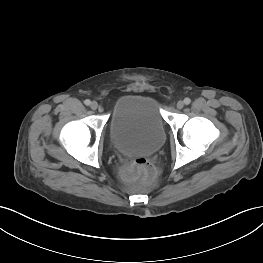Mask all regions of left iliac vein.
Listing matches in <instances>:
<instances>
[{
	"label": "left iliac vein",
	"instance_id": "4c4485c4",
	"mask_svg": "<svg viewBox=\"0 0 263 263\" xmlns=\"http://www.w3.org/2000/svg\"><path fill=\"white\" fill-rule=\"evenodd\" d=\"M176 107L178 109H182L184 107V102L183 101H178L177 104H176Z\"/></svg>",
	"mask_w": 263,
	"mask_h": 263
}]
</instances>
